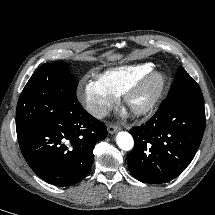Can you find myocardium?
<instances>
[{
	"mask_svg": "<svg viewBox=\"0 0 215 215\" xmlns=\"http://www.w3.org/2000/svg\"><path fill=\"white\" fill-rule=\"evenodd\" d=\"M155 83L156 87L150 99L142 106L133 107L132 99L148 85ZM169 84L167 74L159 69H152L147 74L130 84L122 93V104L136 118L151 115L163 98Z\"/></svg>",
	"mask_w": 215,
	"mask_h": 215,
	"instance_id": "1",
	"label": "myocardium"
}]
</instances>
